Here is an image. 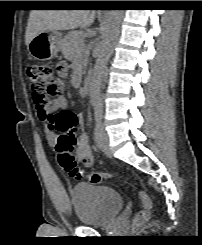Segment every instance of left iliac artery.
<instances>
[{
  "instance_id": "left-iliac-artery-1",
  "label": "left iliac artery",
  "mask_w": 202,
  "mask_h": 245,
  "mask_svg": "<svg viewBox=\"0 0 202 245\" xmlns=\"http://www.w3.org/2000/svg\"><path fill=\"white\" fill-rule=\"evenodd\" d=\"M94 117H95V122L98 125L102 119V106H101V104H96L94 106Z\"/></svg>"
}]
</instances>
